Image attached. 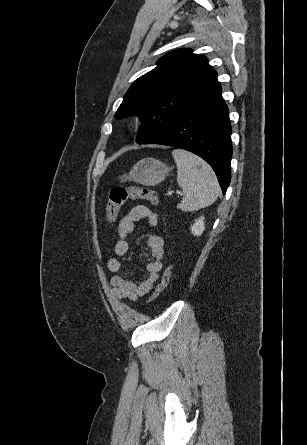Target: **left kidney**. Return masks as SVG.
<instances>
[{"mask_svg":"<svg viewBox=\"0 0 307 445\" xmlns=\"http://www.w3.org/2000/svg\"><path fill=\"white\" fill-rule=\"evenodd\" d=\"M204 225H205L204 216H200V218H198V220H196V223H194V225H192V227H191V231H192L193 235H196V237H200V235H202L203 231H205Z\"/></svg>","mask_w":307,"mask_h":445,"instance_id":"5707ae66","label":"left kidney"}]
</instances>
